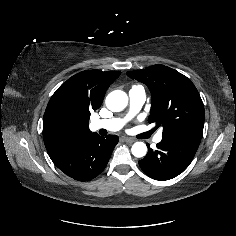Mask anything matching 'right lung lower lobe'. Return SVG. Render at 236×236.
I'll return each instance as SVG.
<instances>
[{
	"mask_svg": "<svg viewBox=\"0 0 236 236\" xmlns=\"http://www.w3.org/2000/svg\"><path fill=\"white\" fill-rule=\"evenodd\" d=\"M119 137L106 138L94 133L84 142L76 145L54 164L69 177L78 181H90L106 167Z\"/></svg>",
	"mask_w": 236,
	"mask_h": 236,
	"instance_id": "right-lung-lower-lobe-1",
	"label": "right lung lower lobe"
}]
</instances>
